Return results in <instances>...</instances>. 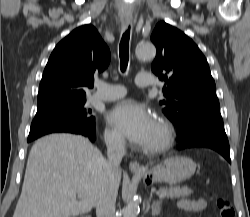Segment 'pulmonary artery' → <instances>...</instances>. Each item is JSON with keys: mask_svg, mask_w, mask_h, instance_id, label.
Instances as JSON below:
<instances>
[{"mask_svg": "<svg viewBox=\"0 0 250 217\" xmlns=\"http://www.w3.org/2000/svg\"><path fill=\"white\" fill-rule=\"evenodd\" d=\"M135 84L140 88H147L154 84V80L150 73H139L135 79ZM125 94L126 89L122 85L97 82L96 91L91 98L100 101H112L122 98Z\"/></svg>", "mask_w": 250, "mask_h": 217, "instance_id": "pulmonary-artery-1", "label": "pulmonary artery"}]
</instances>
